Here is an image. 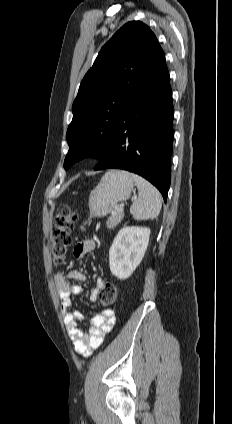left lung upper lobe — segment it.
Here are the masks:
<instances>
[{
  "label": "left lung upper lobe",
  "mask_w": 232,
  "mask_h": 424,
  "mask_svg": "<svg viewBox=\"0 0 232 424\" xmlns=\"http://www.w3.org/2000/svg\"><path fill=\"white\" fill-rule=\"evenodd\" d=\"M163 58L156 36L140 21L126 23L102 47L72 105L65 169L87 156L99 158L126 106Z\"/></svg>",
  "instance_id": "obj_1"
}]
</instances>
